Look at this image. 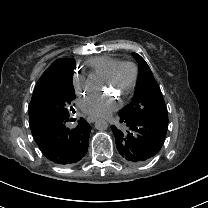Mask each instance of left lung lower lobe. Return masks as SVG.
Here are the masks:
<instances>
[{
  "instance_id": "left-lung-lower-lobe-1",
  "label": "left lung lower lobe",
  "mask_w": 208,
  "mask_h": 208,
  "mask_svg": "<svg viewBox=\"0 0 208 208\" xmlns=\"http://www.w3.org/2000/svg\"><path fill=\"white\" fill-rule=\"evenodd\" d=\"M118 115L119 124L112 125L111 129L120 155L132 163H143L153 158L164 143L167 128L121 111Z\"/></svg>"
}]
</instances>
